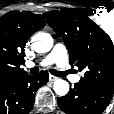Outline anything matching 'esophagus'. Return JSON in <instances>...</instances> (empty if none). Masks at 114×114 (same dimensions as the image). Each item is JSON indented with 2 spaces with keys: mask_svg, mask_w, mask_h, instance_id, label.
Returning a JSON list of instances; mask_svg holds the SVG:
<instances>
[{
  "mask_svg": "<svg viewBox=\"0 0 114 114\" xmlns=\"http://www.w3.org/2000/svg\"><path fill=\"white\" fill-rule=\"evenodd\" d=\"M58 78L56 76H53V75H49V80L50 81H55L57 80Z\"/></svg>",
  "mask_w": 114,
  "mask_h": 114,
  "instance_id": "34e87169",
  "label": "esophagus"
}]
</instances>
